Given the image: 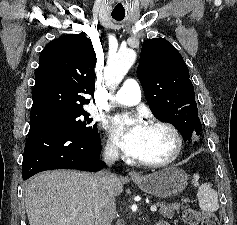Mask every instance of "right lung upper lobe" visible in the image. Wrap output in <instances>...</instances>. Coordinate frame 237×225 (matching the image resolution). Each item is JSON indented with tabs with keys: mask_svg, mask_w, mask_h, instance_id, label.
Instances as JSON below:
<instances>
[{
	"mask_svg": "<svg viewBox=\"0 0 237 225\" xmlns=\"http://www.w3.org/2000/svg\"><path fill=\"white\" fill-rule=\"evenodd\" d=\"M96 55L83 34H68L49 42L39 58L32 93L30 123L83 110L92 95Z\"/></svg>",
	"mask_w": 237,
	"mask_h": 225,
	"instance_id": "obj_1",
	"label": "right lung upper lobe"
}]
</instances>
